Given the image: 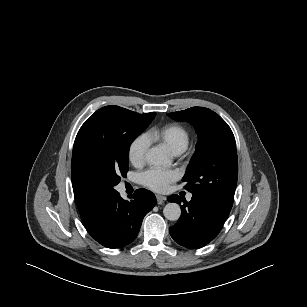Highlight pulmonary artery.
Returning a JSON list of instances; mask_svg holds the SVG:
<instances>
[{
  "mask_svg": "<svg viewBox=\"0 0 307 307\" xmlns=\"http://www.w3.org/2000/svg\"><path fill=\"white\" fill-rule=\"evenodd\" d=\"M192 196L188 195L187 200H191Z\"/></svg>",
  "mask_w": 307,
  "mask_h": 307,
  "instance_id": "e3ab8cb5",
  "label": "pulmonary artery"
}]
</instances>
